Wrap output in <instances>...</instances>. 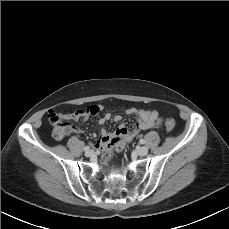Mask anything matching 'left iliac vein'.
I'll return each instance as SVG.
<instances>
[{
	"instance_id": "1",
	"label": "left iliac vein",
	"mask_w": 229,
	"mask_h": 229,
	"mask_svg": "<svg viewBox=\"0 0 229 229\" xmlns=\"http://www.w3.org/2000/svg\"><path fill=\"white\" fill-rule=\"evenodd\" d=\"M137 154L140 155V156H145L148 154V148L145 147V146H142V147H139L137 150H136Z\"/></svg>"
}]
</instances>
